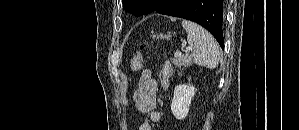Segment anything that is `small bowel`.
Listing matches in <instances>:
<instances>
[{"label":"small bowel","mask_w":299,"mask_h":130,"mask_svg":"<svg viewBox=\"0 0 299 130\" xmlns=\"http://www.w3.org/2000/svg\"><path fill=\"white\" fill-rule=\"evenodd\" d=\"M158 82L152 77L151 71L146 69L142 72L138 87L134 91L133 100L136 109L149 115V120H142L138 125V130H152L150 123H159L161 113L157 107Z\"/></svg>","instance_id":"c3829d8e"}]
</instances>
